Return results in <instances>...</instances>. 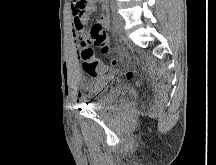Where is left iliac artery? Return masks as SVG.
Instances as JSON below:
<instances>
[{"label": "left iliac artery", "instance_id": "obj_1", "mask_svg": "<svg viewBox=\"0 0 216 165\" xmlns=\"http://www.w3.org/2000/svg\"><path fill=\"white\" fill-rule=\"evenodd\" d=\"M112 13H114L115 12V5L114 6H112Z\"/></svg>", "mask_w": 216, "mask_h": 165}]
</instances>
